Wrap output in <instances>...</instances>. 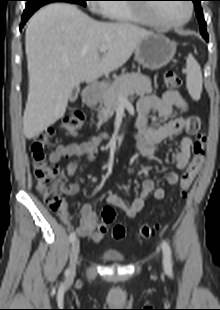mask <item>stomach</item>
Segmentation results:
<instances>
[{
    "label": "stomach",
    "instance_id": "0dacf381",
    "mask_svg": "<svg viewBox=\"0 0 220 310\" xmlns=\"http://www.w3.org/2000/svg\"><path fill=\"white\" fill-rule=\"evenodd\" d=\"M135 60L143 67L157 70L166 66L174 57L175 45L162 34H152L143 38L135 48ZM96 99L91 95L90 101Z\"/></svg>",
    "mask_w": 220,
    "mask_h": 310
}]
</instances>
